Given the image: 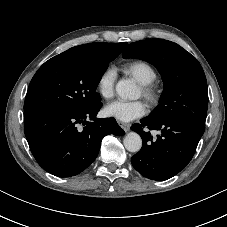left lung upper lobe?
Listing matches in <instances>:
<instances>
[{"label":"left lung upper lobe","mask_w":227,"mask_h":227,"mask_svg":"<svg viewBox=\"0 0 227 227\" xmlns=\"http://www.w3.org/2000/svg\"><path fill=\"white\" fill-rule=\"evenodd\" d=\"M123 57L145 60L162 76L164 90L160 104L147 118L153 121L183 118L205 124L207 81L193 55L174 42L148 39L131 43Z\"/></svg>","instance_id":"left-lung-upper-lobe-1"}]
</instances>
